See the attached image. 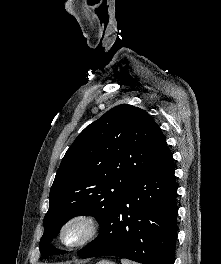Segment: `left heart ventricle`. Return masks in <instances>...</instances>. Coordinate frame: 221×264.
Masks as SVG:
<instances>
[{
    "label": "left heart ventricle",
    "mask_w": 221,
    "mask_h": 264,
    "mask_svg": "<svg viewBox=\"0 0 221 264\" xmlns=\"http://www.w3.org/2000/svg\"><path fill=\"white\" fill-rule=\"evenodd\" d=\"M83 234L82 227L79 225H73L67 229L64 238L67 242L72 243L80 239Z\"/></svg>",
    "instance_id": "1"
}]
</instances>
